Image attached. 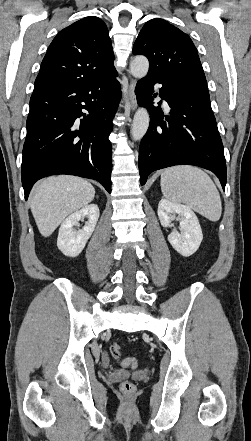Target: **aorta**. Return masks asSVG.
I'll use <instances>...</instances> for the list:
<instances>
[{
    "mask_svg": "<svg viewBox=\"0 0 251 441\" xmlns=\"http://www.w3.org/2000/svg\"><path fill=\"white\" fill-rule=\"evenodd\" d=\"M149 69V61L144 56H136L130 64V72L136 78H142L147 75ZM150 117L145 108H139L133 118L131 126V137L138 141L147 132L149 127Z\"/></svg>",
    "mask_w": 251,
    "mask_h": 441,
    "instance_id": "obj_1",
    "label": "aorta"
}]
</instances>
